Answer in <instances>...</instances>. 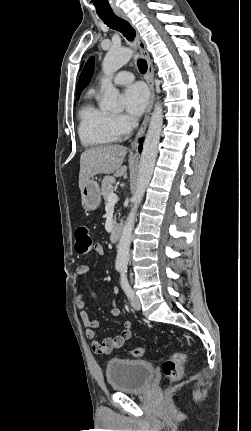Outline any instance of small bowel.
<instances>
[{"mask_svg":"<svg viewBox=\"0 0 251 431\" xmlns=\"http://www.w3.org/2000/svg\"><path fill=\"white\" fill-rule=\"evenodd\" d=\"M95 250L100 255L104 254V249L100 244L95 245ZM89 271L90 267L88 265H80L76 269L77 292L75 304L77 309L79 310L81 321L86 329V336L89 339L93 340L91 344L92 350L97 354H108L115 349L121 348L125 344V342L131 338L132 324L130 321H124L122 324V331L119 335L114 337H107L102 341L94 340L96 336L98 322L96 319L92 318L86 311V304L84 300L83 282ZM113 291L115 294L118 293V289L116 287L113 289ZM110 314L113 317H116L120 314V309L116 299H113L111 302Z\"/></svg>","mask_w":251,"mask_h":431,"instance_id":"small-bowel-1","label":"small bowel"}]
</instances>
